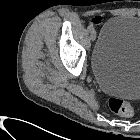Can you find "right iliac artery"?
I'll return each instance as SVG.
<instances>
[{"mask_svg":"<svg viewBox=\"0 0 140 140\" xmlns=\"http://www.w3.org/2000/svg\"><path fill=\"white\" fill-rule=\"evenodd\" d=\"M93 29H94V28H93L92 25H89V26H88V30H89V32L92 31Z\"/></svg>","mask_w":140,"mask_h":140,"instance_id":"right-iliac-artery-1","label":"right iliac artery"}]
</instances>
